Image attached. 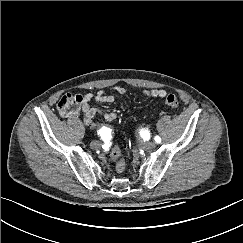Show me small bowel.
Here are the masks:
<instances>
[{
    "label": "small bowel",
    "mask_w": 243,
    "mask_h": 243,
    "mask_svg": "<svg viewBox=\"0 0 243 243\" xmlns=\"http://www.w3.org/2000/svg\"><path fill=\"white\" fill-rule=\"evenodd\" d=\"M113 90L119 94H126L128 92V89L121 86H115L113 87ZM142 94L146 97L160 98L164 97L166 93L162 89H152L146 90ZM115 98V95L106 94L104 91H99L95 95H93L92 93H87L84 95L81 108L72 115L76 116L79 114V112H82L83 121L89 127L94 126L93 117L97 114H101L107 122H112L116 119V114L114 112L91 107L90 103L92 100H95L96 102L101 104H111L115 100ZM102 135L105 139L108 140L111 137V130L107 127H104L102 129Z\"/></svg>",
    "instance_id": "c3829d8e"
}]
</instances>
